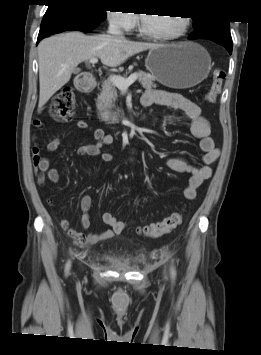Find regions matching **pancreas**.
<instances>
[{
    "label": "pancreas",
    "mask_w": 261,
    "mask_h": 355,
    "mask_svg": "<svg viewBox=\"0 0 261 355\" xmlns=\"http://www.w3.org/2000/svg\"><path fill=\"white\" fill-rule=\"evenodd\" d=\"M139 82L144 88H156L154 84L155 78L148 73L139 71ZM118 98L115 85L110 79H107L102 84V91L98 95L96 106L99 119L107 124L119 123V111H112L115 108V102Z\"/></svg>",
    "instance_id": "obj_1"
}]
</instances>
